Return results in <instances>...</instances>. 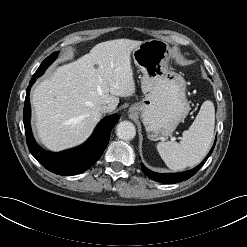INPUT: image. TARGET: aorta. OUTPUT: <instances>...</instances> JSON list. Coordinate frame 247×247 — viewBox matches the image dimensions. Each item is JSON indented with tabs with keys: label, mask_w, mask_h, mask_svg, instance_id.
Returning a JSON list of instances; mask_svg holds the SVG:
<instances>
[{
	"label": "aorta",
	"mask_w": 247,
	"mask_h": 247,
	"mask_svg": "<svg viewBox=\"0 0 247 247\" xmlns=\"http://www.w3.org/2000/svg\"><path fill=\"white\" fill-rule=\"evenodd\" d=\"M116 135L121 140H132L136 135V128L130 121H122L116 127Z\"/></svg>",
	"instance_id": "762f6f07"
}]
</instances>
